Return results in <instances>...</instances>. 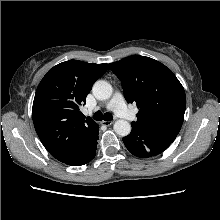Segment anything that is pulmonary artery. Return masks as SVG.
<instances>
[{
    "mask_svg": "<svg viewBox=\"0 0 220 220\" xmlns=\"http://www.w3.org/2000/svg\"><path fill=\"white\" fill-rule=\"evenodd\" d=\"M106 107L107 109L113 110L120 118L131 120L134 117L127 109L123 96L119 92L114 94L112 99L107 103Z\"/></svg>",
    "mask_w": 220,
    "mask_h": 220,
    "instance_id": "pulmonary-artery-1",
    "label": "pulmonary artery"
}]
</instances>
